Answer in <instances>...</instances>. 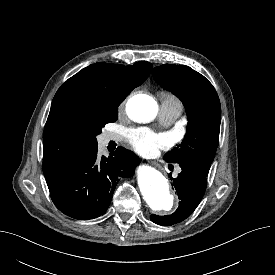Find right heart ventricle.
Segmentation results:
<instances>
[{"label": "right heart ventricle", "mask_w": 275, "mask_h": 275, "mask_svg": "<svg viewBox=\"0 0 275 275\" xmlns=\"http://www.w3.org/2000/svg\"><path fill=\"white\" fill-rule=\"evenodd\" d=\"M161 100H162V103H169V104H175V105L181 106L178 98L171 92H163L161 94Z\"/></svg>", "instance_id": "right-heart-ventricle-1"}]
</instances>
